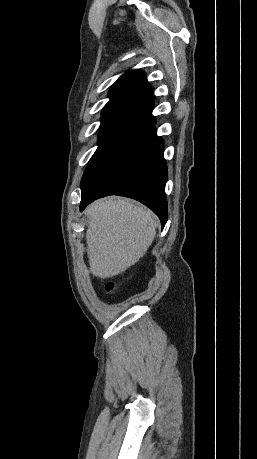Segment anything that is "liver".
<instances>
[{
	"label": "liver",
	"instance_id": "liver-1",
	"mask_svg": "<svg viewBox=\"0 0 257 459\" xmlns=\"http://www.w3.org/2000/svg\"><path fill=\"white\" fill-rule=\"evenodd\" d=\"M86 212L90 272L101 279L119 275L138 262L155 238L156 218L127 199H101Z\"/></svg>",
	"mask_w": 257,
	"mask_h": 459
}]
</instances>
